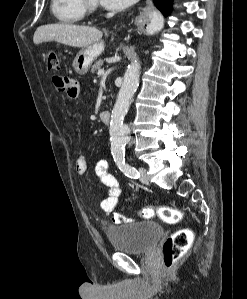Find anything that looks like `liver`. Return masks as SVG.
Here are the masks:
<instances>
[{
  "label": "liver",
  "instance_id": "6515ba94",
  "mask_svg": "<svg viewBox=\"0 0 247 299\" xmlns=\"http://www.w3.org/2000/svg\"><path fill=\"white\" fill-rule=\"evenodd\" d=\"M103 33L95 27L74 24H49L38 27L34 44L56 41L72 47L84 48L101 40Z\"/></svg>",
  "mask_w": 247,
  "mask_h": 299
}]
</instances>
